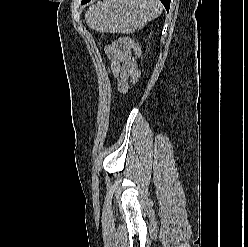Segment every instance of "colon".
Wrapping results in <instances>:
<instances>
[{
  "label": "colon",
  "mask_w": 248,
  "mask_h": 247,
  "mask_svg": "<svg viewBox=\"0 0 248 247\" xmlns=\"http://www.w3.org/2000/svg\"><path fill=\"white\" fill-rule=\"evenodd\" d=\"M120 40L134 50L137 58L141 57V55H142L141 48L136 41H134L132 38H129V37H123Z\"/></svg>",
  "instance_id": "1"
}]
</instances>
